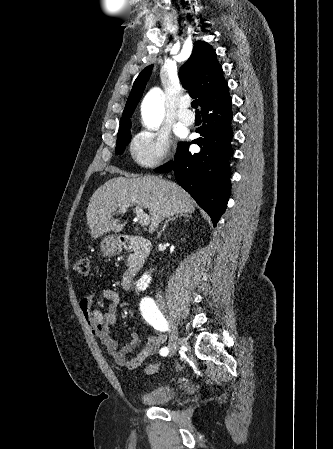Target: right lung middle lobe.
I'll list each match as a JSON object with an SVG mask.
<instances>
[{
	"mask_svg": "<svg viewBox=\"0 0 333 449\" xmlns=\"http://www.w3.org/2000/svg\"><path fill=\"white\" fill-rule=\"evenodd\" d=\"M130 127L131 121L129 119H123L120 121V128L117 136L116 154H122L125 146L130 142Z\"/></svg>",
	"mask_w": 333,
	"mask_h": 449,
	"instance_id": "1",
	"label": "right lung middle lobe"
}]
</instances>
